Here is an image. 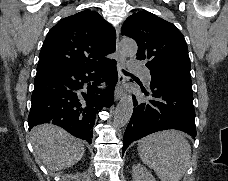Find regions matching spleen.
<instances>
[{
    "label": "spleen",
    "instance_id": "1",
    "mask_svg": "<svg viewBox=\"0 0 228 181\" xmlns=\"http://www.w3.org/2000/svg\"><path fill=\"white\" fill-rule=\"evenodd\" d=\"M138 153L160 181H181L191 159V147L177 131H161L141 139Z\"/></svg>",
    "mask_w": 228,
    "mask_h": 181
}]
</instances>
